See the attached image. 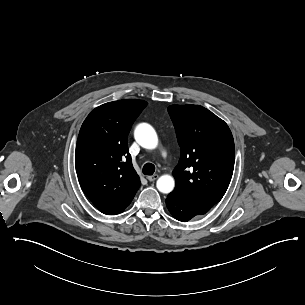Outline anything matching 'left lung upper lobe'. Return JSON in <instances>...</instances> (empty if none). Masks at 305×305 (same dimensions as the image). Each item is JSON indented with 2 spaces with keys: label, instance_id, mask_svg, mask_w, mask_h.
I'll use <instances>...</instances> for the list:
<instances>
[{
  "label": "left lung upper lobe",
  "instance_id": "obj_1",
  "mask_svg": "<svg viewBox=\"0 0 305 305\" xmlns=\"http://www.w3.org/2000/svg\"><path fill=\"white\" fill-rule=\"evenodd\" d=\"M168 112L181 148L171 193L186 203L212 207L222 199L232 178V133L222 119L199 105H171Z\"/></svg>",
  "mask_w": 305,
  "mask_h": 305
}]
</instances>
